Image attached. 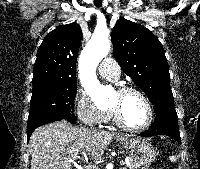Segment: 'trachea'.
<instances>
[{
    "mask_svg": "<svg viewBox=\"0 0 200 169\" xmlns=\"http://www.w3.org/2000/svg\"><path fill=\"white\" fill-rule=\"evenodd\" d=\"M94 5L100 7L102 5V0H94Z\"/></svg>",
    "mask_w": 200,
    "mask_h": 169,
    "instance_id": "1",
    "label": "trachea"
}]
</instances>
